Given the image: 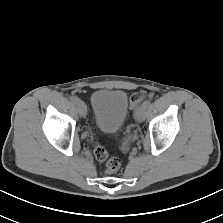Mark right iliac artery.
<instances>
[{"label": "right iliac artery", "mask_w": 223, "mask_h": 223, "mask_svg": "<svg viewBox=\"0 0 223 223\" xmlns=\"http://www.w3.org/2000/svg\"><path fill=\"white\" fill-rule=\"evenodd\" d=\"M70 100L72 103L76 104V102L78 101V98L76 96H71Z\"/></svg>", "instance_id": "obj_1"}]
</instances>
